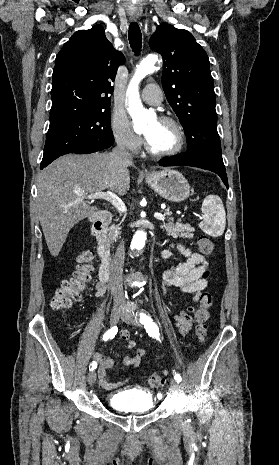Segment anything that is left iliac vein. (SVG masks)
<instances>
[{
    "mask_svg": "<svg viewBox=\"0 0 279 465\" xmlns=\"http://www.w3.org/2000/svg\"><path fill=\"white\" fill-rule=\"evenodd\" d=\"M122 320L132 326H139V322H138L136 315H134L131 312H125L122 315ZM170 384H171V392L174 394H177L180 388L179 383L176 380L171 379Z\"/></svg>",
    "mask_w": 279,
    "mask_h": 465,
    "instance_id": "left-iliac-vein-1",
    "label": "left iliac vein"
}]
</instances>
